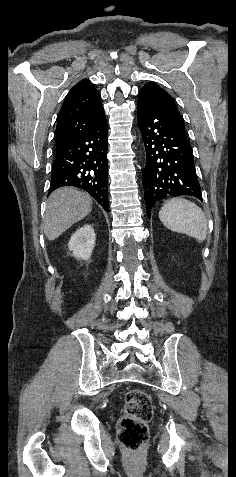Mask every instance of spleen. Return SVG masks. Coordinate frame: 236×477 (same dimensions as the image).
<instances>
[{"instance_id": "obj_1", "label": "spleen", "mask_w": 236, "mask_h": 477, "mask_svg": "<svg viewBox=\"0 0 236 477\" xmlns=\"http://www.w3.org/2000/svg\"><path fill=\"white\" fill-rule=\"evenodd\" d=\"M159 219L168 229L185 233L202 242L207 235L205 213L195 203L182 198H175L163 205Z\"/></svg>"}]
</instances>
